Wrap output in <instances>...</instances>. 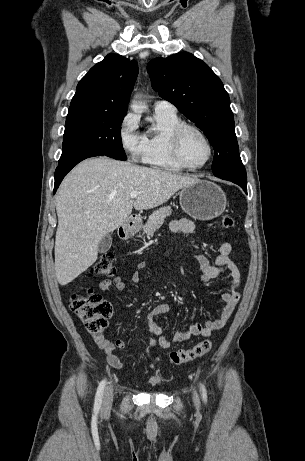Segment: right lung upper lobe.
<instances>
[{
    "mask_svg": "<svg viewBox=\"0 0 305 461\" xmlns=\"http://www.w3.org/2000/svg\"><path fill=\"white\" fill-rule=\"evenodd\" d=\"M137 75L135 60L107 55L80 80L69 110L88 109L126 115Z\"/></svg>",
    "mask_w": 305,
    "mask_h": 461,
    "instance_id": "cb5924a9",
    "label": "right lung upper lobe"
}]
</instances>
